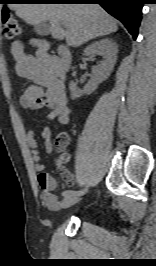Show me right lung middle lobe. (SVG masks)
<instances>
[{
  "instance_id": "obj_1",
  "label": "right lung middle lobe",
  "mask_w": 156,
  "mask_h": 266,
  "mask_svg": "<svg viewBox=\"0 0 156 266\" xmlns=\"http://www.w3.org/2000/svg\"><path fill=\"white\" fill-rule=\"evenodd\" d=\"M26 1H28V0H21V2H26ZM1 2V1H0Z\"/></svg>"
}]
</instances>
